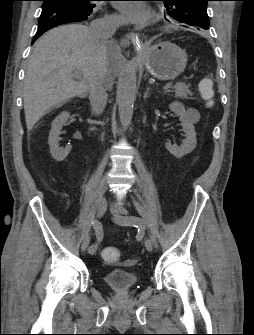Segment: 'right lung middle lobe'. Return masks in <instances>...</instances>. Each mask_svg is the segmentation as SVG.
I'll return each mask as SVG.
<instances>
[{"label":"right lung middle lobe","mask_w":254,"mask_h":335,"mask_svg":"<svg viewBox=\"0 0 254 335\" xmlns=\"http://www.w3.org/2000/svg\"><path fill=\"white\" fill-rule=\"evenodd\" d=\"M42 1H45V0H42ZM78 1H81V2H84L86 4H91L92 6H95V4H93L91 1H94V0H78Z\"/></svg>","instance_id":"right-lung-middle-lobe-1"}]
</instances>
